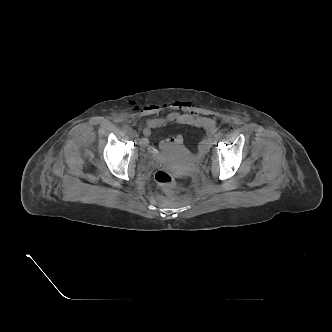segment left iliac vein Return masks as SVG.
I'll use <instances>...</instances> for the list:
<instances>
[{"label": "left iliac vein", "instance_id": "4c4485c4", "mask_svg": "<svg viewBox=\"0 0 332 332\" xmlns=\"http://www.w3.org/2000/svg\"><path fill=\"white\" fill-rule=\"evenodd\" d=\"M219 139H220V136H219L218 134H216L215 137H214V139H213V141L216 142V141H218Z\"/></svg>", "mask_w": 332, "mask_h": 332}]
</instances>
